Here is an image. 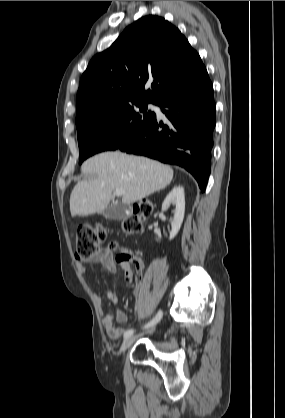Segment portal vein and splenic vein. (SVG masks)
I'll return each mask as SVG.
<instances>
[{
  "mask_svg": "<svg viewBox=\"0 0 285 418\" xmlns=\"http://www.w3.org/2000/svg\"><path fill=\"white\" fill-rule=\"evenodd\" d=\"M122 193H123V191H121V190H115L114 191V195H116V196H121L122 195Z\"/></svg>",
  "mask_w": 285,
  "mask_h": 418,
  "instance_id": "portal-vein-and-splenic-vein-1",
  "label": "portal vein and splenic vein"
}]
</instances>
